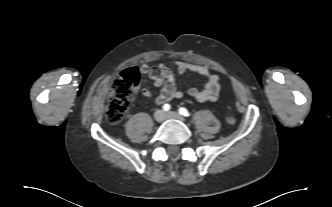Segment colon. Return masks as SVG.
I'll list each match as a JSON object with an SVG mask.
<instances>
[{"mask_svg": "<svg viewBox=\"0 0 332 207\" xmlns=\"http://www.w3.org/2000/svg\"><path fill=\"white\" fill-rule=\"evenodd\" d=\"M140 74L136 68H128L113 81L106 108V118L110 123H118L126 115L132 97L139 91ZM226 124H235L232 116H227Z\"/></svg>", "mask_w": 332, "mask_h": 207, "instance_id": "colon-1", "label": "colon"}]
</instances>
